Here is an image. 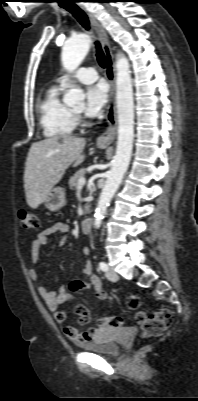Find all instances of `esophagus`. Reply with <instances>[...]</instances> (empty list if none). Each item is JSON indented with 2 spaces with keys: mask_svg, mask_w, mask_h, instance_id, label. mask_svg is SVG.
Listing matches in <instances>:
<instances>
[{
  "mask_svg": "<svg viewBox=\"0 0 198 401\" xmlns=\"http://www.w3.org/2000/svg\"><path fill=\"white\" fill-rule=\"evenodd\" d=\"M79 6L84 10L87 14L88 18L90 19L104 51L105 57L107 59V69H106V76L107 80L110 84V93H109V100L107 105V110L105 114V120L107 122L106 130L97 138L96 143L98 145H108L110 144L116 134V126H117V119H116V102H115V67H114V60L111 47L108 42V37L106 34L105 29L103 26L98 22L95 18L94 14L90 12L85 6L79 3Z\"/></svg>",
  "mask_w": 198,
  "mask_h": 401,
  "instance_id": "obj_1",
  "label": "esophagus"
}]
</instances>
